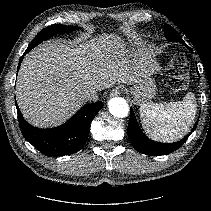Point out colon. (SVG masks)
I'll return each instance as SVG.
<instances>
[{
	"instance_id": "obj_1",
	"label": "colon",
	"mask_w": 211,
	"mask_h": 211,
	"mask_svg": "<svg viewBox=\"0 0 211 211\" xmlns=\"http://www.w3.org/2000/svg\"><path fill=\"white\" fill-rule=\"evenodd\" d=\"M164 81L175 93H182L188 89V64L183 54L176 53L171 57Z\"/></svg>"
}]
</instances>
